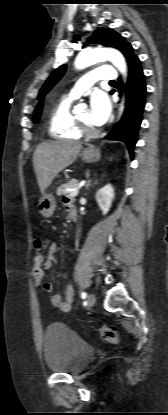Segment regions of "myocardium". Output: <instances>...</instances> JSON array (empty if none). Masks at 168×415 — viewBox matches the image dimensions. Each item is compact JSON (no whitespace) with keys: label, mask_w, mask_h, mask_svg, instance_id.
Instances as JSON below:
<instances>
[{"label":"myocardium","mask_w":168,"mask_h":415,"mask_svg":"<svg viewBox=\"0 0 168 415\" xmlns=\"http://www.w3.org/2000/svg\"><path fill=\"white\" fill-rule=\"evenodd\" d=\"M75 122L80 133L85 136L94 137L100 133L98 129L90 127L84 121H82L78 116H75Z\"/></svg>","instance_id":"1"}]
</instances>
